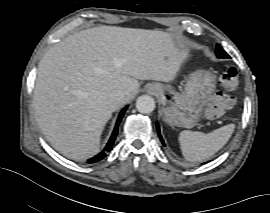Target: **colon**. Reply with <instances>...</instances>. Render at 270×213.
I'll use <instances>...</instances> for the list:
<instances>
[{"label":"colon","instance_id":"5ec220e1","mask_svg":"<svg viewBox=\"0 0 270 213\" xmlns=\"http://www.w3.org/2000/svg\"><path fill=\"white\" fill-rule=\"evenodd\" d=\"M220 91L214 93L204 106L207 118L218 119L223 117L235 104L231 93L238 86V71L235 67L225 69L219 79Z\"/></svg>","mask_w":270,"mask_h":213}]
</instances>
